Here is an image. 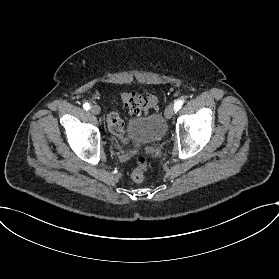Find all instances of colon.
<instances>
[{
  "label": "colon",
  "instance_id": "1",
  "mask_svg": "<svg viewBox=\"0 0 279 279\" xmlns=\"http://www.w3.org/2000/svg\"><path fill=\"white\" fill-rule=\"evenodd\" d=\"M117 97L122 101L125 108L131 113L141 114L154 111L158 105V98L152 93L137 94L133 92L122 91ZM108 128L115 137L121 142L126 143L128 138L124 130V122L121 116L114 111L107 114ZM131 177L134 182L141 183L145 179V173L148 167L147 159L143 156H137L133 160Z\"/></svg>",
  "mask_w": 279,
  "mask_h": 279
}]
</instances>
